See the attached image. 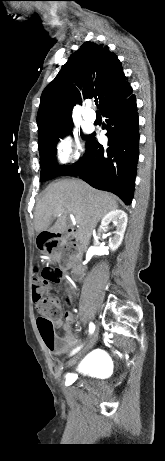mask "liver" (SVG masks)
Wrapping results in <instances>:
<instances>
[{
  "label": "liver",
  "instance_id": "liver-1",
  "mask_svg": "<svg viewBox=\"0 0 165 461\" xmlns=\"http://www.w3.org/2000/svg\"><path fill=\"white\" fill-rule=\"evenodd\" d=\"M117 208L113 195L95 190L80 180L64 179L46 188L35 208L34 226L37 233L48 230L63 234L67 231V216L70 214L77 224V231L72 236L87 245L97 223ZM53 217H57V221L50 227Z\"/></svg>",
  "mask_w": 165,
  "mask_h": 461
}]
</instances>
